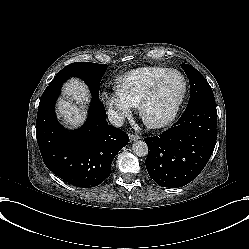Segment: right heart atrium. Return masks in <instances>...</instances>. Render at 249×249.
Here are the masks:
<instances>
[{
	"instance_id": "right-heart-atrium-1",
	"label": "right heart atrium",
	"mask_w": 249,
	"mask_h": 249,
	"mask_svg": "<svg viewBox=\"0 0 249 249\" xmlns=\"http://www.w3.org/2000/svg\"><path fill=\"white\" fill-rule=\"evenodd\" d=\"M109 113L119 120L131 113V106L118 94L108 99Z\"/></svg>"
}]
</instances>
